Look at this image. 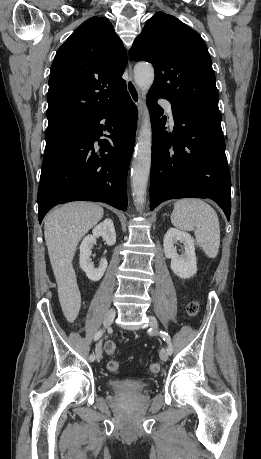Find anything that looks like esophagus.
I'll use <instances>...</instances> for the list:
<instances>
[{
  "label": "esophagus",
  "mask_w": 261,
  "mask_h": 459,
  "mask_svg": "<svg viewBox=\"0 0 261 459\" xmlns=\"http://www.w3.org/2000/svg\"><path fill=\"white\" fill-rule=\"evenodd\" d=\"M128 74H129V78L126 82L127 91L131 97V100L134 102V104L136 105L138 109V113H139L138 127H139L141 123V114L143 110V100H142V94H141L140 89L136 86V84L133 81L132 68L130 64L128 65Z\"/></svg>",
  "instance_id": "obj_1"
}]
</instances>
